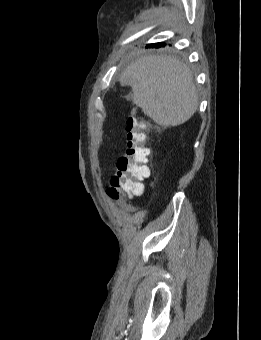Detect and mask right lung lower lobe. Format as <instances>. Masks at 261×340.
I'll list each match as a JSON object with an SVG mask.
<instances>
[{
	"label": "right lung lower lobe",
	"instance_id": "1",
	"mask_svg": "<svg viewBox=\"0 0 261 340\" xmlns=\"http://www.w3.org/2000/svg\"><path fill=\"white\" fill-rule=\"evenodd\" d=\"M163 45H164L163 43H155V44H151L149 46L159 48V47H161Z\"/></svg>",
	"mask_w": 261,
	"mask_h": 340
}]
</instances>
